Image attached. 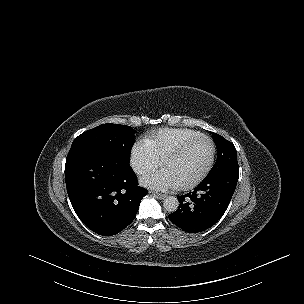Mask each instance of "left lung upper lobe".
Masks as SVG:
<instances>
[{"label":"left lung upper lobe","instance_id":"obj_1","mask_svg":"<svg viewBox=\"0 0 304 304\" xmlns=\"http://www.w3.org/2000/svg\"><path fill=\"white\" fill-rule=\"evenodd\" d=\"M217 147V160L207 176L218 173L229 167L238 166L237 152L234 145L219 134L212 133Z\"/></svg>","mask_w":304,"mask_h":304}]
</instances>
